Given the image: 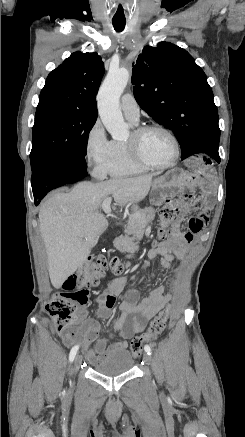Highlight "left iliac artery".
I'll list each match as a JSON object with an SVG mask.
<instances>
[{
	"instance_id": "obj_1",
	"label": "left iliac artery",
	"mask_w": 245,
	"mask_h": 437,
	"mask_svg": "<svg viewBox=\"0 0 245 437\" xmlns=\"http://www.w3.org/2000/svg\"><path fill=\"white\" fill-rule=\"evenodd\" d=\"M144 350H145L146 353H148L149 355H151L152 350H151V347H150L149 345H145V346H144Z\"/></svg>"
}]
</instances>
